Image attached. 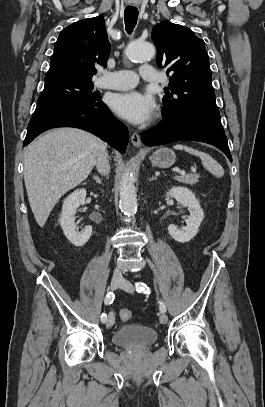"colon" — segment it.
<instances>
[{
	"instance_id": "1",
	"label": "colon",
	"mask_w": 265,
	"mask_h": 407,
	"mask_svg": "<svg viewBox=\"0 0 265 407\" xmlns=\"http://www.w3.org/2000/svg\"><path fill=\"white\" fill-rule=\"evenodd\" d=\"M120 318L124 322L131 321L133 319V313L129 309H122L120 311Z\"/></svg>"
}]
</instances>
